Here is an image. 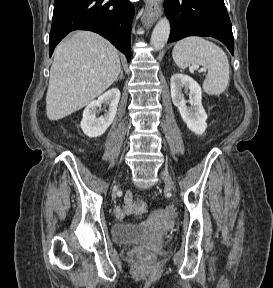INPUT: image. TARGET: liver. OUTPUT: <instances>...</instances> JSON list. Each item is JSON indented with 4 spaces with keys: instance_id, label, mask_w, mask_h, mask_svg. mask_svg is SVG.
<instances>
[{
    "instance_id": "obj_1",
    "label": "liver",
    "mask_w": 273,
    "mask_h": 288,
    "mask_svg": "<svg viewBox=\"0 0 273 288\" xmlns=\"http://www.w3.org/2000/svg\"><path fill=\"white\" fill-rule=\"evenodd\" d=\"M121 70L117 49L90 31H76L55 49L46 94L49 120L62 119L107 90Z\"/></svg>"
}]
</instances>
